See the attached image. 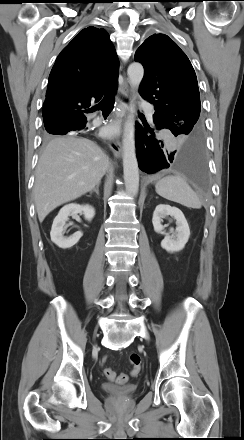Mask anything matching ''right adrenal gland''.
Here are the masks:
<instances>
[{"label":"right adrenal gland","instance_id":"1","mask_svg":"<svg viewBox=\"0 0 244 440\" xmlns=\"http://www.w3.org/2000/svg\"><path fill=\"white\" fill-rule=\"evenodd\" d=\"M99 186H100V183H98V184L96 185V187H95L92 191H90V195H91L93 192H95L97 195H99Z\"/></svg>","mask_w":244,"mask_h":440}]
</instances>
